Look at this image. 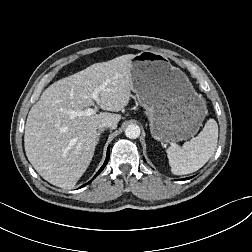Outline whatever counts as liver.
Segmentation results:
<instances>
[{
  "label": "liver",
  "mask_w": 252,
  "mask_h": 252,
  "mask_svg": "<svg viewBox=\"0 0 252 252\" xmlns=\"http://www.w3.org/2000/svg\"><path fill=\"white\" fill-rule=\"evenodd\" d=\"M131 58L122 55L60 79L32 106L24 146L29 162L43 179L63 189L74 188L93 158L98 125L109 121L117 126L121 115L100 112L72 117L69 112L94 106L91 94L101 86L98 106L113 112L126 107L131 98Z\"/></svg>",
  "instance_id": "6515ba94"
}]
</instances>
